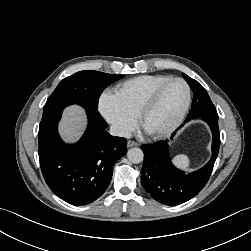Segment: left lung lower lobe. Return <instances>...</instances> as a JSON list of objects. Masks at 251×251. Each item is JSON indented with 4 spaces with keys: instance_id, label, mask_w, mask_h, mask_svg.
I'll return each mask as SVG.
<instances>
[{
    "instance_id": "obj_1",
    "label": "left lung lower lobe",
    "mask_w": 251,
    "mask_h": 251,
    "mask_svg": "<svg viewBox=\"0 0 251 251\" xmlns=\"http://www.w3.org/2000/svg\"><path fill=\"white\" fill-rule=\"evenodd\" d=\"M193 100H196V98L194 97ZM195 118L206 121L213 133L212 157L200 170L187 174L177 169L169 158L168 140L141 146L144 152L141 170L142 186L155 200L162 204L176 205L190 200L204 188L211 175L220 146L218 117L200 116ZM191 119H186L185 123ZM174 135L175 132L171 140Z\"/></svg>"
}]
</instances>
